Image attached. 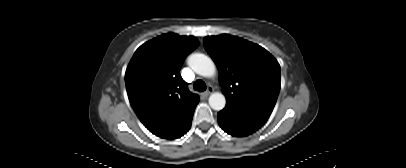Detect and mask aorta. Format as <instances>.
I'll return each mask as SVG.
<instances>
[{"label":"aorta","mask_w":406,"mask_h":168,"mask_svg":"<svg viewBox=\"0 0 406 168\" xmlns=\"http://www.w3.org/2000/svg\"><path fill=\"white\" fill-rule=\"evenodd\" d=\"M188 65L195 73L204 77H213L216 73V66L212 59L202 53L191 54L188 57ZM209 105L213 110H222L226 105L225 96L219 92L212 93L209 97Z\"/></svg>","instance_id":"aorta-1"}]
</instances>
